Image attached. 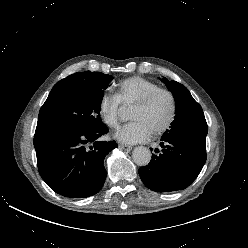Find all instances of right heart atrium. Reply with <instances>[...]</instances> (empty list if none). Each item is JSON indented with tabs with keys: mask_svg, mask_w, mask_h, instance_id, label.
I'll return each instance as SVG.
<instances>
[{
	"mask_svg": "<svg viewBox=\"0 0 248 248\" xmlns=\"http://www.w3.org/2000/svg\"><path fill=\"white\" fill-rule=\"evenodd\" d=\"M99 114L103 122L110 128H116L119 124L121 103L116 95L105 93L98 103Z\"/></svg>",
	"mask_w": 248,
	"mask_h": 248,
	"instance_id": "obj_1",
	"label": "right heart atrium"
}]
</instances>
